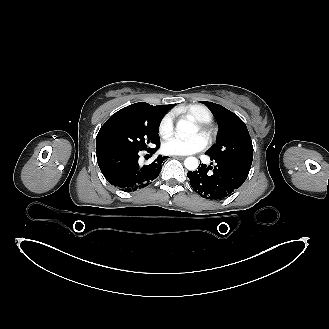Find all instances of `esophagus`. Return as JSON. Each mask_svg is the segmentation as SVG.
I'll return each mask as SVG.
<instances>
[{
    "label": "esophagus",
    "mask_w": 329,
    "mask_h": 329,
    "mask_svg": "<svg viewBox=\"0 0 329 329\" xmlns=\"http://www.w3.org/2000/svg\"><path fill=\"white\" fill-rule=\"evenodd\" d=\"M173 157L174 158H180V159H184L185 158L184 156H177V155H174Z\"/></svg>",
    "instance_id": "esophagus-1"
}]
</instances>
